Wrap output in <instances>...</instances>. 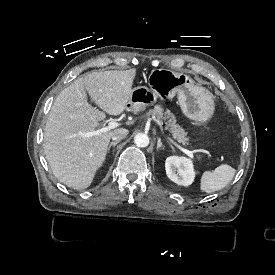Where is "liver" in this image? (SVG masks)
<instances>
[{
    "label": "liver",
    "mask_w": 275,
    "mask_h": 275,
    "mask_svg": "<svg viewBox=\"0 0 275 275\" xmlns=\"http://www.w3.org/2000/svg\"><path fill=\"white\" fill-rule=\"evenodd\" d=\"M136 70L92 72L56 97L44 133V153L54 176L73 189H85L102 166L114 131L84 137L99 121L125 110ZM103 111L87 102V94Z\"/></svg>",
    "instance_id": "1"
}]
</instances>
